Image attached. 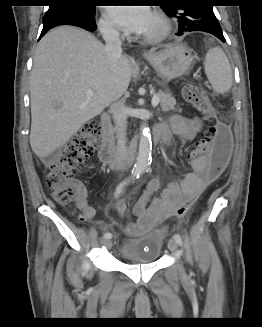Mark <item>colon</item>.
Masks as SVG:
<instances>
[{
    "label": "colon",
    "mask_w": 262,
    "mask_h": 327,
    "mask_svg": "<svg viewBox=\"0 0 262 327\" xmlns=\"http://www.w3.org/2000/svg\"><path fill=\"white\" fill-rule=\"evenodd\" d=\"M185 100L206 120H215V111L205 90L193 84L184 87ZM101 125L98 121H88L61 149L49 166L47 186L52 197L62 204L78 199L81 186L74 174L86 162L90 153L101 141ZM232 148V135L227 125L217 122L206 129L202 138L194 145L190 155L205 156L207 174L210 180L217 179L226 169ZM192 201H185L172 211V216L183 217L187 214ZM118 213L123 216L125 207L120 205Z\"/></svg>",
    "instance_id": "colon-1"
}]
</instances>
